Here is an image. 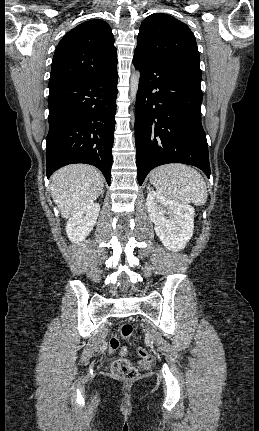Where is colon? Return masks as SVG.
Here are the masks:
<instances>
[{"label":"colon","instance_id":"1","mask_svg":"<svg viewBox=\"0 0 259 431\" xmlns=\"http://www.w3.org/2000/svg\"><path fill=\"white\" fill-rule=\"evenodd\" d=\"M134 327L130 323L122 324L118 329V335L110 340V351L114 352L119 348V339H127L132 336ZM128 352L126 347H122L120 353L125 355ZM140 357L146 359L149 357V352L146 348L140 347L138 349ZM113 375L120 380H132L138 375L137 367L125 358H119L112 364Z\"/></svg>","mask_w":259,"mask_h":431}]
</instances>
